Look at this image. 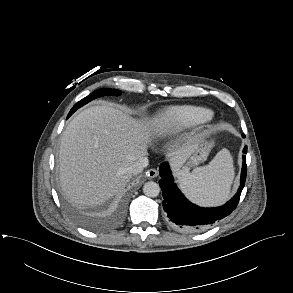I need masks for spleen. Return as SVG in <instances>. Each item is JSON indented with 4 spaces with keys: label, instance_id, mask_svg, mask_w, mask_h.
Returning a JSON list of instances; mask_svg holds the SVG:
<instances>
[{
    "label": "spleen",
    "instance_id": "3e777b00",
    "mask_svg": "<svg viewBox=\"0 0 293 293\" xmlns=\"http://www.w3.org/2000/svg\"><path fill=\"white\" fill-rule=\"evenodd\" d=\"M233 178V159L227 149L218 152L209 165L197 168L192 173L179 174L183 192L202 206L224 203L229 197Z\"/></svg>",
    "mask_w": 293,
    "mask_h": 293
}]
</instances>
